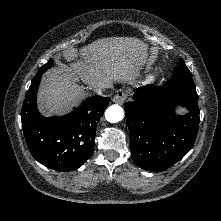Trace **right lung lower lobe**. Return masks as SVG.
<instances>
[{"label":"right lung lower lobe","mask_w":221,"mask_h":221,"mask_svg":"<svg viewBox=\"0 0 221 221\" xmlns=\"http://www.w3.org/2000/svg\"><path fill=\"white\" fill-rule=\"evenodd\" d=\"M41 76L33 78L22 107L26 143L34 159L44 166L62 172L76 170L93 152L97 123L110 98L93 96L65 116L45 118L36 106Z\"/></svg>","instance_id":"1"}]
</instances>
